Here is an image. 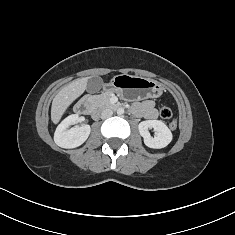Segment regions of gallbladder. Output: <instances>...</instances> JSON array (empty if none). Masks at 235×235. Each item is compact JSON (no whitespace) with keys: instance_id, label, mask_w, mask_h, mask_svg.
Listing matches in <instances>:
<instances>
[{"instance_id":"obj_1","label":"gallbladder","mask_w":235,"mask_h":235,"mask_svg":"<svg viewBox=\"0 0 235 235\" xmlns=\"http://www.w3.org/2000/svg\"><path fill=\"white\" fill-rule=\"evenodd\" d=\"M103 86V80L99 76H94L88 79L87 91L89 93H95L101 89Z\"/></svg>"}]
</instances>
